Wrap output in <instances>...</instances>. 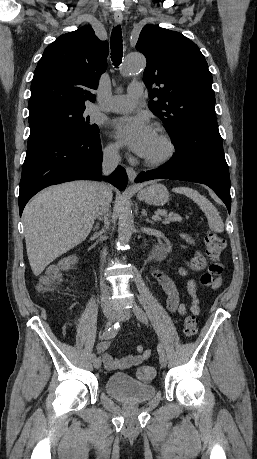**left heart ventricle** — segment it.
<instances>
[{
	"instance_id": "1",
	"label": "left heart ventricle",
	"mask_w": 257,
	"mask_h": 459,
	"mask_svg": "<svg viewBox=\"0 0 257 459\" xmlns=\"http://www.w3.org/2000/svg\"><path fill=\"white\" fill-rule=\"evenodd\" d=\"M165 152H166V145L161 139V137L158 135V133L155 131L153 140L149 146V149L145 157L156 158V157L163 155Z\"/></svg>"
}]
</instances>
